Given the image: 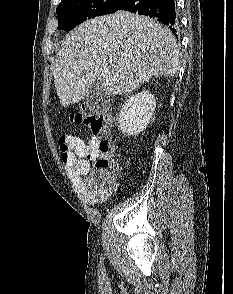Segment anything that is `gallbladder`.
<instances>
[{"mask_svg":"<svg viewBox=\"0 0 233 294\" xmlns=\"http://www.w3.org/2000/svg\"><path fill=\"white\" fill-rule=\"evenodd\" d=\"M109 94L100 83H96L84 98V104L93 113L105 111L109 104Z\"/></svg>","mask_w":233,"mask_h":294,"instance_id":"bac80fb5","label":"gallbladder"}]
</instances>
